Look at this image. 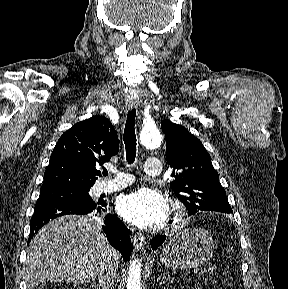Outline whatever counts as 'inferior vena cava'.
Instances as JSON below:
<instances>
[{"label":"inferior vena cava","mask_w":288,"mask_h":289,"mask_svg":"<svg viewBox=\"0 0 288 289\" xmlns=\"http://www.w3.org/2000/svg\"><path fill=\"white\" fill-rule=\"evenodd\" d=\"M117 264L110 261L99 273L98 281L102 289H112L116 278Z\"/></svg>","instance_id":"602c4592"}]
</instances>
